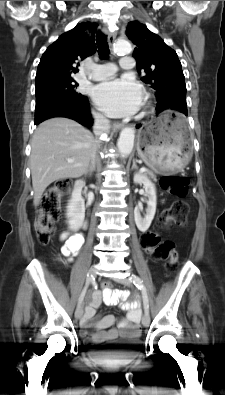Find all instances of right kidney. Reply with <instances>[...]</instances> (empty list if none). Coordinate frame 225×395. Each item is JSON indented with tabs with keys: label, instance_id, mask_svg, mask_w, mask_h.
<instances>
[{
	"label": "right kidney",
	"instance_id": "obj_1",
	"mask_svg": "<svg viewBox=\"0 0 225 395\" xmlns=\"http://www.w3.org/2000/svg\"><path fill=\"white\" fill-rule=\"evenodd\" d=\"M66 217L70 228L77 231L85 218V204L81 197V188L76 187L72 193V197L68 202Z\"/></svg>",
	"mask_w": 225,
	"mask_h": 395
}]
</instances>
